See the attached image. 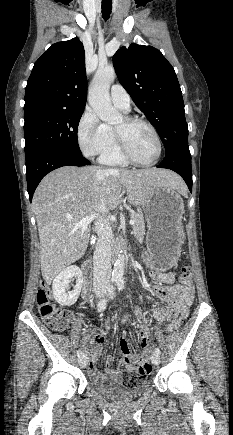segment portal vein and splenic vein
<instances>
[{
  "label": "portal vein and splenic vein",
  "instance_id": "1",
  "mask_svg": "<svg viewBox=\"0 0 233 435\" xmlns=\"http://www.w3.org/2000/svg\"><path fill=\"white\" fill-rule=\"evenodd\" d=\"M97 217H98V214H91V215H89V216L83 218L80 222L74 224V227H75V228H79V229H81L82 231H85V230H87L89 224H90V223H91L95 218H97ZM110 220H111V221H115L116 218H115L114 216H111ZM129 224H130V225H134V224H135V220L131 219V220L129 221Z\"/></svg>",
  "mask_w": 233,
  "mask_h": 435
}]
</instances>
